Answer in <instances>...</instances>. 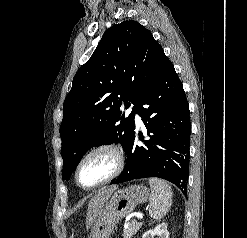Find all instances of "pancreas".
I'll use <instances>...</instances> for the list:
<instances>
[{
    "label": "pancreas",
    "instance_id": "obj_1",
    "mask_svg": "<svg viewBox=\"0 0 247 238\" xmlns=\"http://www.w3.org/2000/svg\"><path fill=\"white\" fill-rule=\"evenodd\" d=\"M142 227V223L132 220L128 223V227L123 230V238H132Z\"/></svg>",
    "mask_w": 247,
    "mask_h": 238
}]
</instances>
